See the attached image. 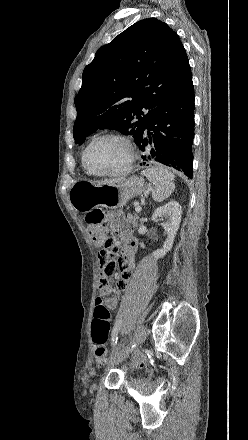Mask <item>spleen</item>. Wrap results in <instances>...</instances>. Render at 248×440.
Returning a JSON list of instances; mask_svg holds the SVG:
<instances>
[{"label":"spleen","mask_w":248,"mask_h":440,"mask_svg":"<svg viewBox=\"0 0 248 440\" xmlns=\"http://www.w3.org/2000/svg\"><path fill=\"white\" fill-rule=\"evenodd\" d=\"M153 185L152 198L156 202H162L168 198L175 188V176L163 167H151L141 172Z\"/></svg>","instance_id":"3e777b00"}]
</instances>
